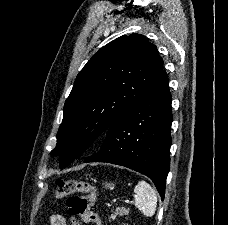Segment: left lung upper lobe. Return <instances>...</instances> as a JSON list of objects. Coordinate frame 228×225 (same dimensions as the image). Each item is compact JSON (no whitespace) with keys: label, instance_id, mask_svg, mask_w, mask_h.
<instances>
[{"label":"left lung upper lobe","instance_id":"1","mask_svg":"<svg viewBox=\"0 0 228 225\" xmlns=\"http://www.w3.org/2000/svg\"><path fill=\"white\" fill-rule=\"evenodd\" d=\"M163 72L155 45L140 34L123 35L102 47L75 79L64 105L57 145L64 168L136 103Z\"/></svg>","mask_w":228,"mask_h":225}]
</instances>
